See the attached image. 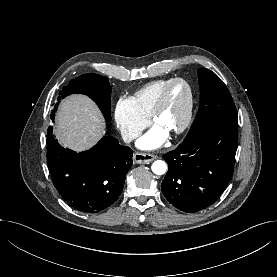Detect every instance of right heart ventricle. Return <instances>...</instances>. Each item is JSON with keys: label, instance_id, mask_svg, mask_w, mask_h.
Listing matches in <instances>:
<instances>
[{"label": "right heart ventricle", "instance_id": "right-heart-ventricle-1", "mask_svg": "<svg viewBox=\"0 0 277 277\" xmlns=\"http://www.w3.org/2000/svg\"><path fill=\"white\" fill-rule=\"evenodd\" d=\"M170 80L171 79H159L149 82L148 84H146L134 93V95L131 98L134 101V104L137 107V109L143 115L147 117L151 115V112L155 106L160 92Z\"/></svg>", "mask_w": 277, "mask_h": 277}]
</instances>
